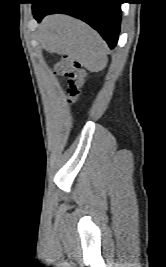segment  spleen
Wrapping results in <instances>:
<instances>
[{
	"label": "spleen",
	"instance_id": "spleen-1",
	"mask_svg": "<svg viewBox=\"0 0 166 267\" xmlns=\"http://www.w3.org/2000/svg\"><path fill=\"white\" fill-rule=\"evenodd\" d=\"M43 47L68 55L91 72L102 70L108 62L106 43L80 20L67 15H52L42 24Z\"/></svg>",
	"mask_w": 166,
	"mask_h": 267
}]
</instances>
